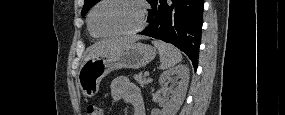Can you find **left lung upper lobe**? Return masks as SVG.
Returning a JSON list of instances; mask_svg holds the SVG:
<instances>
[{
  "instance_id": "5c2ea615",
  "label": "left lung upper lobe",
  "mask_w": 285,
  "mask_h": 115,
  "mask_svg": "<svg viewBox=\"0 0 285 115\" xmlns=\"http://www.w3.org/2000/svg\"><path fill=\"white\" fill-rule=\"evenodd\" d=\"M97 2H99V0H85L81 15L84 17L88 10Z\"/></svg>"
}]
</instances>
